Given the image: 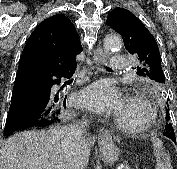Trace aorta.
Segmentation results:
<instances>
[{
  "label": "aorta",
  "instance_id": "762f6f07",
  "mask_svg": "<svg viewBox=\"0 0 177 169\" xmlns=\"http://www.w3.org/2000/svg\"><path fill=\"white\" fill-rule=\"evenodd\" d=\"M121 38L117 35H108L104 39V50L110 52L113 49H118L121 47Z\"/></svg>",
  "mask_w": 177,
  "mask_h": 169
}]
</instances>
